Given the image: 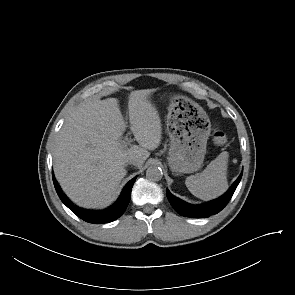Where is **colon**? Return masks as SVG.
Here are the masks:
<instances>
[{"label": "colon", "mask_w": 295, "mask_h": 295, "mask_svg": "<svg viewBox=\"0 0 295 295\" xmlns=\"http://www.w3.org/2000/svg\"><path fill=\"white\" fill-rule=\"evenodd\" d=\"M213 138H214V141L217 143V144H224L225 141H226V135L223 131L219 130V129H216L214 131V134H213Z\"/></svg>", "instance_id": "colon-1"}]
</instances>
